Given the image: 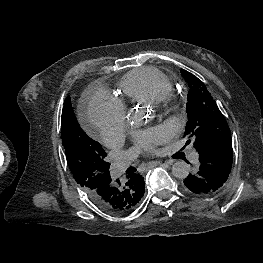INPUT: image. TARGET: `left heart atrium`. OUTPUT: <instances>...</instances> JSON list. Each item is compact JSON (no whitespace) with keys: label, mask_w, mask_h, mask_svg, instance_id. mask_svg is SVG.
<instances>
[{"label":"left heart atrium","mask_w":263,"mask_h":263,"mask_svg":"<svg viewBox=\"0 0 263 263\" xmlns=\"http://www.w3.org/2000/svg\"><path fill=\"white\" fill-rule=\"evenodd\" d=\"M169 132L164 127H155L138 132L135 136V146L144 152H154L157 147L165 142Z\"/></svg>","instance_id":"obj_1"}]
</instances>
